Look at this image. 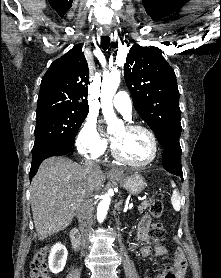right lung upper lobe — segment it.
<instances>
[{
    "label": "right lung upper lobe",
    "instance_id": "cb5924a9",
    "mask_svg": "<svg viewBox=\"0 0 221 278\" xmlns=\"http://www.w3.org/2000/svg\"><path fill=\"white\" fill-rule=\"evenodd\" d=\"M89 68L80 46L50 65L41 81L37 109L63 108L89 112Z\"/></svg>",
    "mask_w": 221,
    "mask_h": 278
}]
</instances>
